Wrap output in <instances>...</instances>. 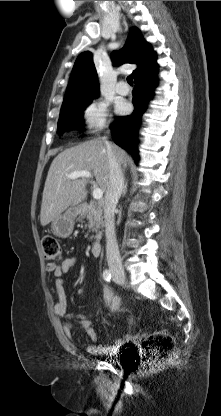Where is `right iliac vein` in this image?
<instances>
[{"mask_svg":"<svg viewBox=\"0 0 221 416\" xmlns=\"http://www.w3.org/2000/svg\"><path fill=\"white\" fill-rule=\"evenodd\" d=\"M112 274L118 282H120L122 284H125V285L127 284L126 275L122 270L112 269Z\"/></svg>","mask_w":221,"mask_h":416,"instance_id":"right-iliac-vein-1","label":"right iliac vein"}]
</instances>
